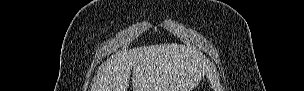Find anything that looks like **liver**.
I'll return each instance as SVG.
<instances>
[{"label": "liver", "mask_w": 304, "mask_h": 91, "mask_svg": "<svg viewBox=\"0 0 304 91\" xmlns=\"http://www.w3.org/2000/svg\"><path fill=\"white\" fill-rule=\"evenodd\" d=\"M192 91L207 72L206 59L178 44L137 47L116 53L97 71L92 91Z\"/></svg>", "instance_id": "6515ba94"}]
</instances>
